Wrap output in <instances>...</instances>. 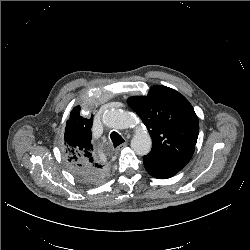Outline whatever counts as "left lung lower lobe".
<instances>
[{
    "mask_svg": "<svg viewBox=\"0 0 250 250\" xmlns=\"http://www.w3.org/2000/svg\"><path fill=\"white\" fill-rule=\"evenodd\" d=\"M143 162L147 172L158 179H168L180 171L157 166L146 159H143Z\"/></svg>",
    "mask_w": 250,
    "mask_h": 250,
    "instance_id": "1",
    "label": "left lung lower lobe"
}]
</instances>
